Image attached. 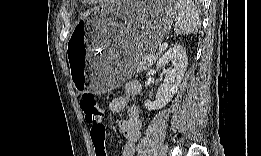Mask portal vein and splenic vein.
Segmentation results:
<instances>
[{
    "instance_id": "18ae733b",
    "label": "portal vein and splenic vein",
    "mask_w": 261,
    "mask_h": 156,
    "mask_svg": "<svg viewBox=\"0 0 261 156\" xmlns=\"http://www.w3.org/2000/svg\"><path fill=\"white\" fill-rule=\"evenodd\" d=\"M167 47V45H165V44H161L160 46H159V52H162L165 48Z\"/></svg>"
}]
</instances>
